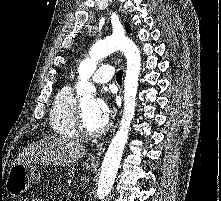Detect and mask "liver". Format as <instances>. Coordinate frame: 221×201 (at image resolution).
<instances>
[{
    "label": "liver",
    "mask_w": 221,
    "mask_h": 201,
    "mask_svg": "<svg viewBox=\"0 0 221 201\" xmlns=\"http://www.w3.org/2000/svg\"><path fill=\"white\" fill-rule=\"evenodd\" d=\"M87 151V148L77 141L61 136H47L26 148L18 155L15 163L67 166L85 156Z\"/></svg>",
    "instance_id": "6515ba94"
}]
</instances>
